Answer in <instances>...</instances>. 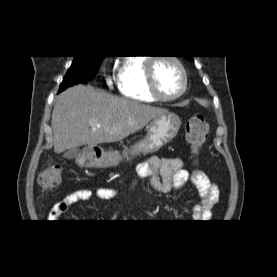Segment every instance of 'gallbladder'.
<instances>
[{
	"instance_id": "bac80fb5",
	"label": "gallbladder",
	"mask_w": 277,
	"mask_h": 277,
	"mask_svg": "<svg viewBox=\"0 0 277 277\" xmlns=\"http://www.w3.org/2000/svg\"><path fill=\"white\" fill-rule=\"evenodd\" d=\"M79 154H80L79 148L75 147V148L67 149V150L64 152L63 157H64V158H67V159H74V158H76Z\"/></svg>"
}]
</instances>
